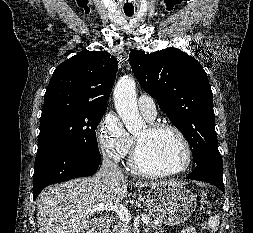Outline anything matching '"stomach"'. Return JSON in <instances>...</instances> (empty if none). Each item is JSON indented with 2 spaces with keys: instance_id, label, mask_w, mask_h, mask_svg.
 Masks as SVG:
<instances>
[{
  "instance_id": "0dacf381",
  "label": "stomach",
  "mask_w": 253,
  "mask_h": 233,
  "mask_svg": "<svg viewBox=\"0 0 253 233\" xmlns=\"http://www.w3.org/2000/svg\"><path fill=\"white\" fill-rule=\"evenodd\" d=\"M196 196L183 184L170 182L151 187L146 205L159 222L175 226L186 221L196 208Z\"/></svg>"
}]
</instances>
